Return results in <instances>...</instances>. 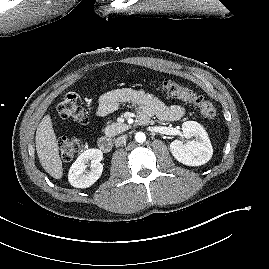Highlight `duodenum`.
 Here are the masks:
<instances>
[{"instance_id": "duodenum-1", "label": "duodenum", "mask_w": 269, "mask_h": 269, "mask_svg": "<svg viewBox=\"0 0 269 269\" xmlns=\"http://www.w3.org/2000/svg\"><path fill=\"white\" fill-rule=\"evenodd\" d=\"M98 148L104 153L111 152V150L113 148L112 140L106 136L99 138Z\"/></svg>"}]
</instances>
